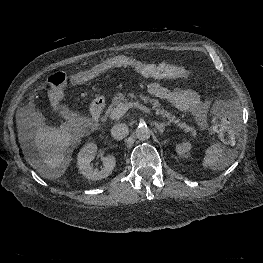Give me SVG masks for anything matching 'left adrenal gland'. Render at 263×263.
I'll list each match as a JSON object with an SVG mask.
<instances>
[{
	"instance_id": "obj_1",
	"label": "left adrenal gland",
	"mask_w": 263,
	"mask_h": 263,
	"mask_svg": "<svg viewBox=\"0 0 263 263\" xmlns=\"http://www.w3.org/2000/svg\"><path fill=\"white\" fill-rule=\"evenodd\" d=\"M153 124L161 134L164 133L165 127L169 125V123H157V122H154Z\"/></svg>"
}]
</instances>
